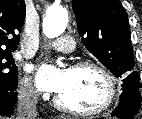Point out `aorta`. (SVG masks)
Instances as JSON below:
<instances>
[{
	"instance_id": "762f6f07",
	"label": "aorta",
	"mask_w": 142,
	"mask_h": 119,
	"mask_svg": "<svg viewBox=\"0 0 142 119\" xmlns=\"http://www.w3.org/2000/svg\"><path fill=\"white\" fill-rule=\"evenodd\" d=\"M68 23V12L65 8L51 7L46 11L43 19V32L48 38H56L61 35ZM58 64L62 63L58 61Z\"/></svg>"
}]
</instances>
